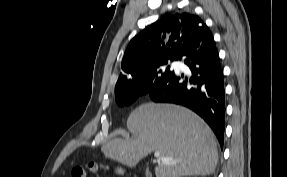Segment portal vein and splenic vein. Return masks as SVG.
Returning <instances> with one entry per match:
<instances>
[{
    "mask_svg": "<svg viewBox=\"0 0 287 177\" xmlns=\"http://www.w3.org/2000/svg\"><path fill=\"white\" fill-rule=\"evenodd\" d=\"M154 156L156 158H158V161H162V162H164L166 164H175L176 163L175 161H168V160H165V159H160V152L159 151H155L154 152Z\"/></svg>",
    "mask_w": 287,
    "mask_h": 177,
    "instance_id": "1",
    "label": "portal vein and splenic vein"
}]
</instances>
